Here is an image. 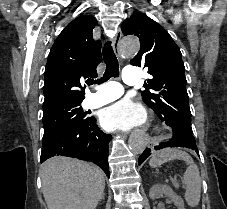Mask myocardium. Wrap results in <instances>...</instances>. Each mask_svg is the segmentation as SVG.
Returning a JSON list of instances; mask_svg holds the SVG:
<instances>
[{"mask_svg":"<svg viewBox=\"0 0 227 209\" xmlns=\"http://www.w3.org/2000/svg\"><path fill=\"white\" fill-rule=\"evenodd\" d=\"M165 133L166 130L161 124H156L155 126H153L150 132V134L154 137L163 136Z\"/></svg>","mask_w":227,"mask_h":209,"instance_id":"1","label":"myocardium"}]
</instances>
